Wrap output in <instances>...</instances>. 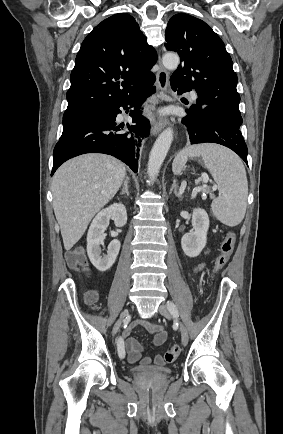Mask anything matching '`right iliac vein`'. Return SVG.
Listing matches in <instances>:
<instances>
[{"label": "right iliac vein", "instance_id": "right-iliac-vein-1", "mask_svg": "<svg viewBox=\"0 0 283 434\" xmlns=\"http://www.w3.org/2000/svg\"><path fill=\"white\" fill-rule=\"evenodd\" d=\"M128 316H129V311H128L127 309L124 310V311L121 313V315H120V317H119L117 323L115 324V326H114V328H113V335H115V334L118 332V330L120 329V326H121L122 322H123V321H124Z\"/></svg>", "mask_w": 283, "mask_h": 434}]
</instances>
